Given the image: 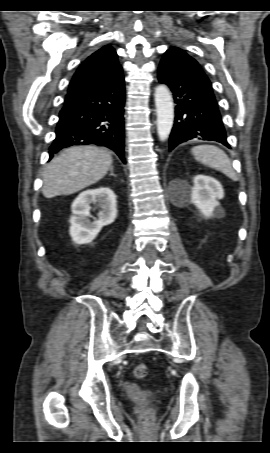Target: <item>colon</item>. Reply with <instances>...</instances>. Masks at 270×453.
I'll return each instance as SVG.
<instances>
[{"label":"colon","mask_w":270,"mask_h":453,"mask_svg":"<svg viewBox=\"0 0 270 453\" xmlns=\"http://www.w3.org/2000/svg\"><path fill=\"white\" fill-rule=\"evenodd\" d=\"M148 372H149L148 366L143 362L135 364L133 368V373L135 377L139 379L145 378L148 375ZM141 420L144 423H151L153 421L152 411L150 409H146L142 415Z\"/></svg>","instance_id":"5ec220e1"}]
</instances>
